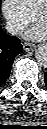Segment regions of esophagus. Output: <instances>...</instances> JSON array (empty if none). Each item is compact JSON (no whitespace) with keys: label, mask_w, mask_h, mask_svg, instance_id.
Instances as JSON below:
<instances>
[{"label":"esophagus","mask_w":47,"mask_h":129,"mask_svg":"<svg viewBox=\"0 0 47 129\" xmlns=\"http://www.w3.org/2000/svg\"><path fill=\"white\" fill-rule=\"evenodd\" d=\"M34 48H35V45L32 44V43L25 42V43L23 44V49H24V51H31V50H33Z\"/></svg>","instance_id":"obj_1"}]
</instances>
